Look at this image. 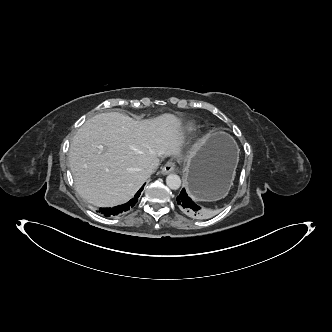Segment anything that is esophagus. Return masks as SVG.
<instances>
[{
	"label": "esophagus",
	"instance_id": "1",
	"mask_svg": "<svg viewBox=\"0 0 332 332\" xmlns=\"http://www.w3.org/2000/svg\"><path fill=\"white\" fill-rule=\"evenodd\" d=\"M175 169H176L175 162H173V161H169V162H167V163L163 166L161 173H162L163 175H167V174H169V173H171V172H174Z\"/></svg>",
	"mask_w": 332,
	"mask_h": 332
}]
</instances>
